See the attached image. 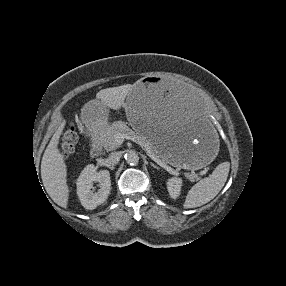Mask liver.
I'll return each instance as SVG.
<instances>
[{
  "label": "liver",
  "mask_w": 286,
  "mask_h": 286,
  "mask_svg": "<svg viewBox=\"0 0 286 286\" xmlns=\"http://www.w3.org/2000/svg\"><path fill=\"white\" fill-rule=\"evenodd\" d=\"M133 85L126 84L119 87L107 88L99 91L96 95L104 106L119 110L132 90ZM62 124L51 138L41 161V178L46 192L50 198L59 206L66 208L69 198L67 185V166L64 157L58 148L60 136L63 132Z\"/></svg>",
  "instance_id": "liver-1"
}]
</instances>
